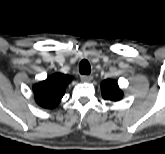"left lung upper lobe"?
<instances>
[{
    "label": "left lung upper lobe",
    "mask_w": 165,
    "mask_h": 154,
    "mask_svg": "<svg viewBox=\"0 0 165 154\" xmlns=\"http://www.w3.org/2000/svg\"><path fill=\"white\" fill-rule=\"evenodd\" d=\"M102 96L106 100L118 101L123 97L122 91L115 80L107 79L101 84Z\"/></svg>",
    "instance_id": "5c2ea615"
}]
</instances>
